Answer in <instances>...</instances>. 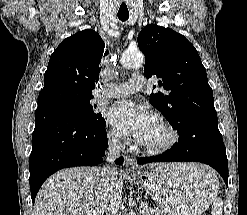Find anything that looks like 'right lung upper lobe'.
<instances>
[{
  "label": "right lung upper lobe",
  "instance_id": "obj_1",
  "mask_svg": "<svg viewBox=\"0 0 247 215\" xmlns=\"http://www.w3.org/2000/svg\"><path fill=\"white\" fill-rule=\"evenodd\" d=\"M104 47L100 35L90 29L63 40L50 57L43 90L67 88L92 95L101 57L108 54Z\"/></svg>",
  "mask_w": 247,
  "mask_h": 215
}]
</instances>
